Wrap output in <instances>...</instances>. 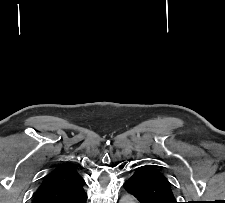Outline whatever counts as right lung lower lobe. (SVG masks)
I'll return each mask as SVG.
<instances>
[{"label": "right lung lower lobe", "mask_w": 225, "mask_h": 203, "mask_svg": "<svg viewBox=\"0 0 225 203\" xmlns=\"http://www.w3.org/2000/svg\"><path fill=\"white\" fill-rule=\"evenodd\" d=\"M86 200H87V194L85 192L83 195H81L79 198H77L73 201H69V202H67V201H64V202L63 201H56V202H52V203H86Z\"/></svg>", "instance_id": "1"}]
</instances>
